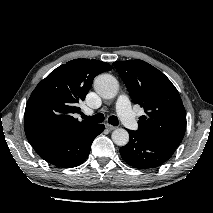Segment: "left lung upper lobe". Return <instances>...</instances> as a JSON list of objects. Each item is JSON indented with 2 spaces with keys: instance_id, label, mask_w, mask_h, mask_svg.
I'll return each instance as SVG.
<instances>
[{
  "instance_id": "left-lung-upper-lobe-1",
  "label": "left lung upper lobe",
  "mask_w": 213,
  "mask_h": 213,
  "mask_svg": "<svg viewBox=\"0 0 213 213\" xmlns=\"http://www.w3.org/2000/svg\"><path fill=\"white\" fill-rule=\"evenodd\" d=\"M113 65L133 103L145 110L137 131L150 141L177 148L186 130V111L175 86L145 61H118Z\"/></svg>"
}]
</instances>
